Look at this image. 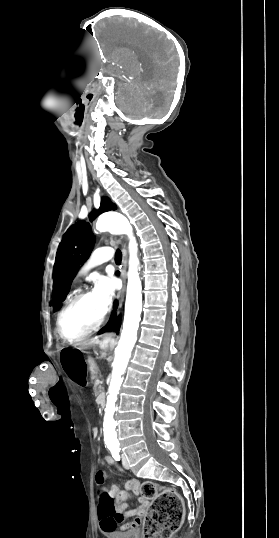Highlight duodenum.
Segmentation results:
<instances>
[{
	"instance_id": "1",
	"label": "duodenum",
	"mask_w": 279,
	"mask_h": 538,
	"mask_svg": "<svg viewBox=\"0 0 279 538\" xmlns=\"http://www.w3.org/2000/svg\"><path fill=\"white\" fill-rule=\"evenodd\" d=\"M92 369L94 370V372L92 373V377L90 378V381L92 383H95L97 381V377L99 376V373L97 372V370L99 369V366L97 364H94L92 366ZM104 400H105V397L103 395L97 396V401H99L98 405H100L101 407H104L106 405V402Z\"/></svg>"
}]
</instances>
